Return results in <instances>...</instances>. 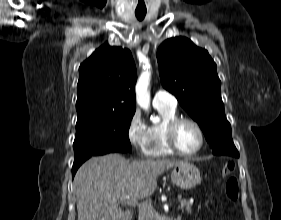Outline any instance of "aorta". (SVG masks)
I'll return each mask as SVG.
<instances>
[{
	"label": "aorta",
	"mask_w": 281,
	"mask_h": 220,
	"mask_svg": "<svg viewBox=\"0 0 281 220\" xmlns=\"http://www.w3.org/2000/svg\"><path fill=\"white\" fill-rule=\"evenodd\" d=\"M150 78H151L150 70L147 69L143 71L137 80L136 88H135L137 104L144 110H149L150 108V91H149ZM152 121L156 123L159 121V118L154 117Z\"/></svg>",
	"instance_id": "1"
}]
</instances>
